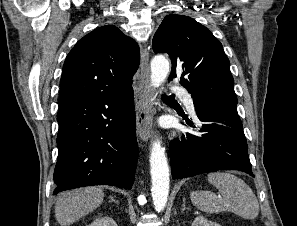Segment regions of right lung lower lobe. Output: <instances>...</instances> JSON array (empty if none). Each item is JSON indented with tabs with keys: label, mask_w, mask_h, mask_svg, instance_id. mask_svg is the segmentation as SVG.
I'll return each instance as SVG.
<instances>
[{
	"label": "right lung lower lobe",
	"mask_w": 297,
	"mask_h": 226,
	"mask_svg": "<svg viewBox=\"0 0 297 226\" xmlns=\"http://www.w3.org/2000/svg\"><path fill=\"white\" fill-rule=\"evenodd\" d=\"M57 121L54 195L91 185L132 188L138 156L133 89L60 104Z\"/></svg>",
	"instance_id": "obj_1"
}]
</instances>
